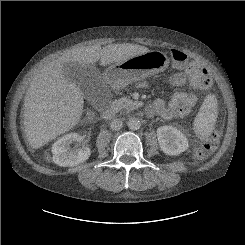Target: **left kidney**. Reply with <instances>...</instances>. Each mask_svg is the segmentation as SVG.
Wrapping results in <instances>:
<instances>
[{"label": "left kidney", "instance_id": "left-kidney-1", "mask_svg": "<svg viewBox=\"0 0 245 245\" xmlns=\"http://www.w3.org/2000/svg\"><path fill=\"white\" fill-rule=\"evenodd\" d=\"M157 139L160 149L167 155H179L189 147L186 136L173 126L157 128Z\"/></svg>", "mask_w": 245, "mask_h": 245}]
</instances>
